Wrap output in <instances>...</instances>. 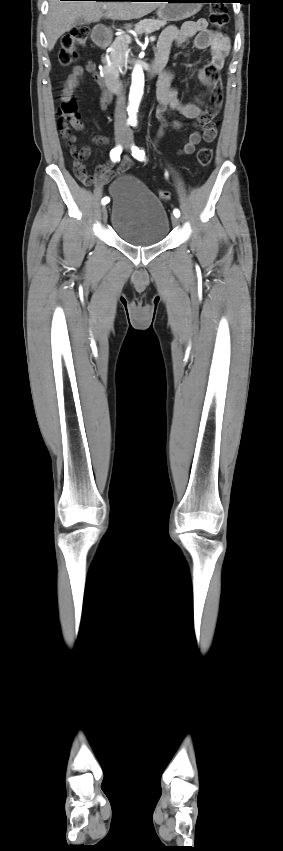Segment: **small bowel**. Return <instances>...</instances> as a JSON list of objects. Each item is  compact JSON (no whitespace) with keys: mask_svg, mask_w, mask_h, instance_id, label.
<instances>
[{"mask_svg":"<svg viewBox=\"0 0 283 851\" xmlns=\"http://www.w3.org/2000/svg\"><path fill=\"white\" fill-rule=\"evenodd\" d=\"M190 39H193L194 46L197 49L209 48L211 51L209 66L200 67L197 71L199 80L206 86L210 93L208 102H206L204 97L201 96L198 98L197 104H183L178 99L177 90L171 87L173 73L170 69L166 68L171 48L174 44L180 45L186 43ZM229 50L230 42L228 37L208 29V22L203 18L196 21H185L180 27L170 25L163 30L157 42V53L155 57V60L162 61L164 63V69L158 82L157 99L159 101V105L156 109L155 117L164 128H172L175 130L184 128L181 121L168 120L170 110L176 111L188 119L196 120L199 126L206 127V125L210 123V120L217 114L222 101L220 92L221 83L215 73L223 68L225 58L227 57ZM85 73L93 74L98 81V85L100 86L99 89L103 92L100 100V106L103 110H106L112 101L113 93L107 88V77L104 75L99 77V74L96 71V65L93 61L86 62L84 66L76 65L72 68L62 91L63 100L68 101L72 98L74 90L78 87L80 80ZM73 126L76 129L83 128L81 121L74 123ZM161 135L162 131L158 132L157 138H160ZM61 136L70 144L69 151L74 159V167H81L86 170L85 166L82 164V160L90 156L91 148L89 146H85L81 149H77L73 145L75 142V136L72 135L68 127L61 131ZM215 136L213 138H209L205 133V129L203 134L199 131L190 132L183 143L180 153L183 155H190L194 153L196 145L202 140L209 142L212 141ZM92 143L104 145L108 143V138L105 136H95L92 139ZM130 165L131 160L129 158H124L120 165V169L125 171L130 167ZM112 167L113 164L111 161L98 166L96 177L100 183H107L113 176Z\"/></svg>","mask_w":283,"mask_h":851,"instance_id":"obj_1","label":"small bowel"}]
</instances>
